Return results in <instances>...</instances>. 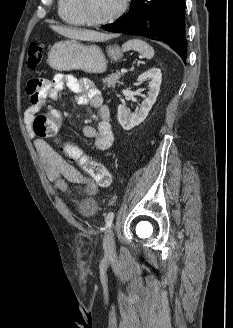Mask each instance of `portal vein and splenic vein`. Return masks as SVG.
I'll return each mask as SVG.
<instances>
[{
  "label": "portal vein and splenic vein",
  "mask_w": 233,
  "mask_h": 328,
  "mask_svg": "<svg viewBox=\"0 0 233 328\" xmlns=\"http://www.w3.org/2000/svg\"><path fill=\"white\" fill-rule=\"evenodd\" d=\"M121 73H127V69H121Z\"/></svg>",
  "instance_id": "18ae733b"
}]
</instances>
